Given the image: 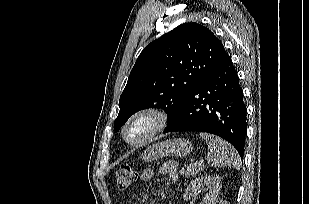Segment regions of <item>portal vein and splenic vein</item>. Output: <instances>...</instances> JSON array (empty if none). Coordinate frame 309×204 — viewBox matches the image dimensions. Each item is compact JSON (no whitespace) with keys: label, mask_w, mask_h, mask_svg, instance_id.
<instances>
[{"label":"portal vein and splenic vein","mask_w":309,"mask_h":204,"mask_svg":"<svg viewBox=\"0 0 309 204\" xmlns=\"http://www.w3.org/2000/svg\"><path fill=\"white\" fill-rule=\"evenodd\" d=\"M203 163V160H200V164H202Z\"/></svg>","instance_id":"obj_1"}]
</instances>
